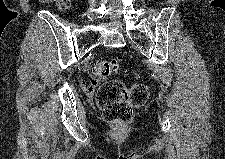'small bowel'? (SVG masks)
<instances>
[{"label": "small bowel", "mask_w": 225, "mask_h": 159, "mask_svg": "<svg viewBox=\"0 0 225 159\" xmlns=\"http://www.w3.org/2000/svg\"><path fill=\"white\" fill-rule=\"evenodd\" d=\"M81 84L86 93L92 94L96 89L97 81L92 77L90 80H83Z\"/></svg>", "instance_id": "obj_1"}]
</instances>
